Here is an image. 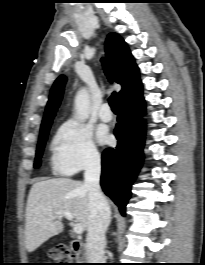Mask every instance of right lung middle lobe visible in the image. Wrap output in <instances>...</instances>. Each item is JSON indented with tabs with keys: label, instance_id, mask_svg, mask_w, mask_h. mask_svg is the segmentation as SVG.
Listing matches in <instances>:
<instances>
[{
	"label": "right lung middle lobe",
	"instance_id": "obj_1",
	"mask_svg": "<svg viewBox=\"0 0 205 265\" xmlns=\"http://www.w3.org/2000/svg\"><path fill=\"white\" fill-rule=\"evenodd\" d=\"M50 126L51 125L43 128L40 131V138H39L37 151H36V158H35V162H34V167L35 168H38L40 166V163H41L40 157L42 156V153H43V149H44V146H45V142L47 140V136H48V133H49Z\"/></svg>",
	"mask_w": 205,
	"mask_h": 265
}]
</instances>
